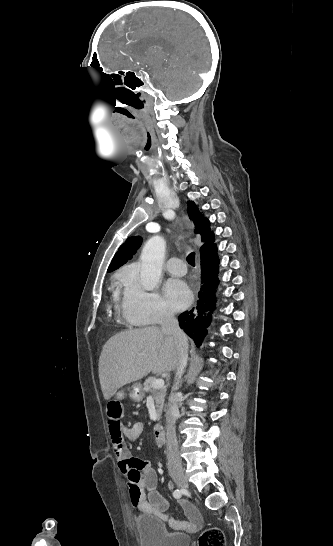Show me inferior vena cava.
Instances as JSON below:
<instances>
[{
	"instance_id": "obj_1",
	"label": "inferior vena cava",
	"mask_w": 333,
	"mask_h": 546,
	"mask_svg": "<svg viewBox=\"0 0 333 546\" xmlns=\"http://www.w3.org/2000/svg\"><path fill=\"white\" fill-rule=\"evenodd\" d=\"M161 330L163 333L172 335L176 342L178 350L179 363L176 368L175 381L168 399V409L166 412V448L168 468L181 467L179 457L178 442L175 431V422L179 416L177 390L179 389L180 379L184 373L188 361V341L185 333L180 329L178 320L174 314L165 311L161 318Z\"/></svg>"
}]
</instances>
